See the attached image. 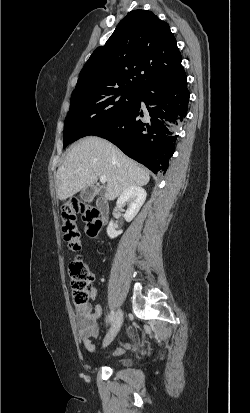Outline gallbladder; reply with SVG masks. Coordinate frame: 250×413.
I'll return each mask as SVG.
<instances>
[{
    "instance_id": "bac80fb5",
    "label": "gallbladder",
    "mask_w": 250,
    "mask_h": 413,
    "mask_svg": "<svg viewBox=\"0 0 250 413\" xmlns=\"http://www.w3.org/2000/svg\"><path fill=\"white\" fill-rule=\"evenodd\" d=\"M100 193L103 194V193H104V189H101V190H100ZM94 197H95V188L92 187V186L83 189V190L81 191V193H80V198H81L84 202H91Z\"/></svg>"
}]
</instances>
